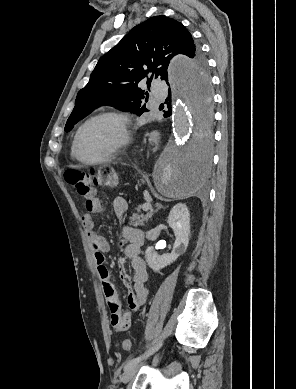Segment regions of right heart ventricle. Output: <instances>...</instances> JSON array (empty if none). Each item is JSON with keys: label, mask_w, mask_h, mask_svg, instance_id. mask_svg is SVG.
Segmentation results:
<instances>
[{"label": "right heart ventricle", "mask_w": 296, "mask_h": 389, "mask_svg": "<svg viewBox=\"0 0 296 389\" xmlns=\"http://www.w3.org/2000/svg\"><path fill=\"white\" fill-rule=\"evenodd\" d=\"M72 155H74V154H73V148H72Z\"/></svg>", "instance_id": "obj_1"}]
</instances>
